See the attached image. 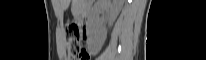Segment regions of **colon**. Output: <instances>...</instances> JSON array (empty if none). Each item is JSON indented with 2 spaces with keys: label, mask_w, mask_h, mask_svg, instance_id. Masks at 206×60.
<instances>
[{
  "label": "colon",
  "mask_w": 206,
  "mask_h": 60,
  "mask_svg": "<svg viewBox=\"0 0 206 60\" xmlns=\"http://www.w3.org/2000/svg\"><path fill=\"white\" fill-rule=\"evenodd\" d=\"M66 41L69 60H89V54L84 47V37L76 24L68 25Z\"/></svg>",
  "instance_id": "5ec220e1"
}]
</instances>
